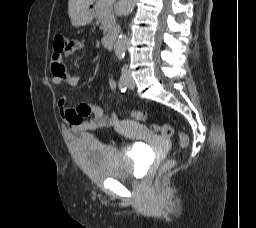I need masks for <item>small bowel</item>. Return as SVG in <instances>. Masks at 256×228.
<instances>
[{
	"instance_id": "small-bowel-1",
	"label": "small bowel",
	"mask_w": 256,
	"mask_h": 228,
	"mask_svg": "<svg viewBox=\"0 0 256 228\" xmlns=\"http://www.w3.org/2000/svg\"><path fill=\"white\" fill-rule=\"evenodd\" d=\"M86 44L81 40L70 41L65 50L60 54H53L51 58V72L53 83L56 85L67 84L75 88L79 84L77 76L70 75L63 60L73 56L77 51L84 49ZM107 87L111 92L116 90V82L108 80ZM58 109L63 120L71 130L75 132L92 131L105 127H118L120 120L115 113L106 115L100 106L88 103H80L76 107H70L66 97H61L58 102ZM89 117V119H87Z\"/></svg>"
}]
</instances>
